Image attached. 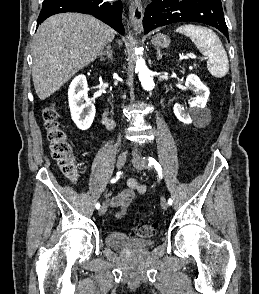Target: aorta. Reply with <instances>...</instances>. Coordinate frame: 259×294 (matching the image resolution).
I'll use <instances>...</instances> for the list:
<instances>
[{"instance_id": "obj_1", "label": "aorta", "mask_w": 259, "mask_h": 294, "mask_svg": "<svg viewBox=\"0 0 259 294\" xmlns=\"http://www.w3.org/2000/svg\"><path fill=\"white\" fill-rule=\"evenodd\" d=\"M135 55H137L136 60V71L138 72L139 80L143 89L150 91L154 88L155 84L151 77V72L146 66L145 60L142 57H138L141 53L140 48H135Z\"/></svg>"}]
</instances>
